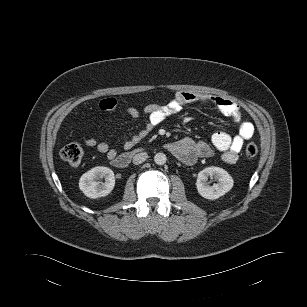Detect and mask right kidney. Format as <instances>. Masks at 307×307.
I'll list each match as a JSON object with an SVG mask.
<instances>
[{
	"mask_svg": "<svg viewBox=\"0 0 307 307\" xmlns=\"http://www.w3.org/2000/svg\"><path fill=\"white\" fill-rule=\"evenodd\" d=\"M104 178L100 183L97 179ZM115 186L114 172L103 166H97L84 173L79 180L80 190L89 198L96 199L107 196Z\"/></svg>",
	"mask_w": 307,
	"mask_h": 307,
	"instance_id": "right-kidney-1",
	"label": "right kidney"
}]
</instances>
